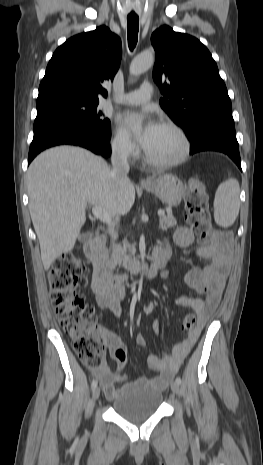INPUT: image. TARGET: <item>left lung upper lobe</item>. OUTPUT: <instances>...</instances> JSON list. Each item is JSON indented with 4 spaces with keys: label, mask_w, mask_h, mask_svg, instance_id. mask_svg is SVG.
<instances>
[{
    "label": "left lung upper lobe",
    "mask_w": 263,
    "mask_h": 465,
    "mask_svg": "<svg viewBox=\"0 0 263 465\" xmlns=\"http://www.w3.org/2000/svg\"><path fill=\"white\" fill-rule=\"evenodd\" d=\"M151 43L156 51L153 79L164 95L160 105L189 140L213 120L234 122L217 65L198 39L165 25L152 34Z\"/></svg>",
    "instance_id": "1"
}]
</instances>
